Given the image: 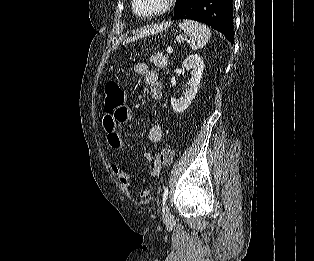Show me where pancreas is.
Listing matches in <instances>:
<instances>
[{"label":"pancreas","instance_id":"1","mask_svg":"<svg viewBox=\"0 0 314 261\" xmlns=\"http://www.w3.org/2000/svg\"><path fill=\"white\" fill-rule=\"evenodd\" d=\"M150 62L160 69H166L169 64V58L167 55H163L162 52H156L150 57Z\"/></svg>","mask_w":314,"mask_h":261}]
</instances>
